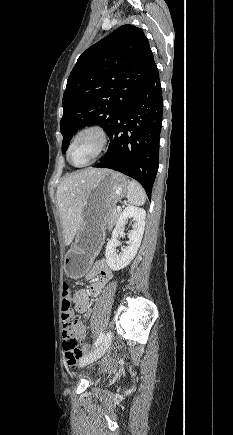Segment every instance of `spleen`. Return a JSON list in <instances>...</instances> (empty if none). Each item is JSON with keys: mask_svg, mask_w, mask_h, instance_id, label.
<instances>
[{"mask_svg": "<svg viewBox=\"0 0 233 435\" xmlns=\"http://www.w3.org/2000/svg\"><path fill=\"white\" fill-rule=\"evenodd\" d=\"M127 199L130 204L141 206L146 201V194L142 186L135 180L128 182Z\"/></svg>", "mask_w": 233, "mask_h": 435, "instance_id": "3e777b00", "label": "spleen"}]
</instances>
